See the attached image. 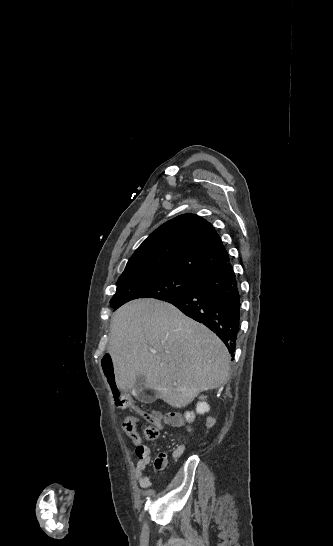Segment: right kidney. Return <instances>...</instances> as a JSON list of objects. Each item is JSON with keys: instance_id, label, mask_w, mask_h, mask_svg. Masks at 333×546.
Returning a JSON list of instances; mask_svg holds the SVG:
<instances>
[{"instance_id": "1", "label": "right kidney", "mask_w": 333, "mask_h": 546, "mask_svg": "<svg viewBox=\"0 0 333 546\" xmlns=\"http://www.w3.org/2000/svg\"><path fill=\"white\" fill-rule=\"evenodd\" d=\"M201 399H202V397H201ZM196 411L199 414H203V413L209 411V405L205 401L199 402L197 404ZM194 417H195V415H194L193 412H186L185 413V418L189 422L193 421Z\"/></svg>"}]
</instances>
